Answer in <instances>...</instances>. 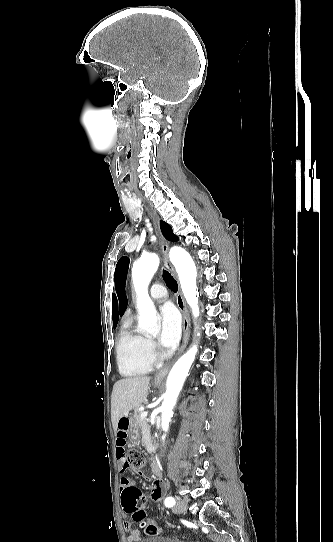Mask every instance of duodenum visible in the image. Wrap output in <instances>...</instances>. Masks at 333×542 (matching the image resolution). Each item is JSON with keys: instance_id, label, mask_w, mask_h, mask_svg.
Wrapping results in <instances>:
<instances>
[{"instance_id": "duodenum-1", "label": "duodenum", "mask_w": 333, "mask_h": 542, "mask_svg": "<svg viewBox=\"0 0 333 542\" xmlns=\"http://www.w3.org/2000/svg\"><path fill=\"white\" fill-rule=\"evenodd\" d=\"M151 470H152V473H153V475H154L155 477H159V476H160V474H161V468H160L159 465L153 464V465L151 466Z\"/></svg>"}]
</instances>
